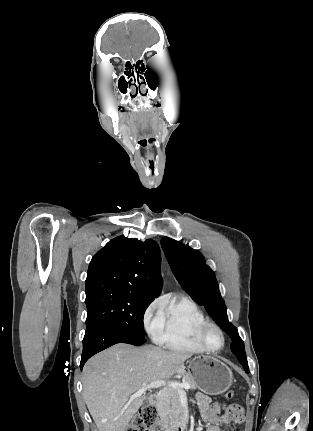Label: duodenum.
Segmentation results:
<instances>
[{
  "label": "duodenum",
  "mask_w": 313,
  "mask_h": 431,
  "mask_svg": "<svg viewBox=\"0 0 313 431\" xmlns=\"http://www.w3.org/2000/svg\"><path fill=\"white\" fill-rule=\"evenodd\" d=\"M149 402L152 406H155L158 402V395H151ZM166 431H188V426L185 422H178L176 424L167 425Z\"/></svg>",
  "instance_id": "410a0bca"
}]
</instances>
